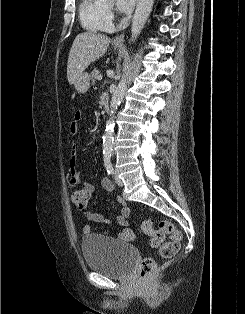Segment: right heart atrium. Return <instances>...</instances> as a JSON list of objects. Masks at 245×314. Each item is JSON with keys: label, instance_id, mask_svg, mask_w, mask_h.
I'll list each match as a JSON object with an SVG mask.
<instances>
[{"label": "right heart atrium", "instance_id": "1", "mask_svg": "<svg viewBox=\"0 0 245 314\" xmlns=\"http://www.w3.org/2000/svg\"><path fill=\"white\" fill-rule=\"evenodd\" d=\"M113 17V13L112 12H109L108 13V20H109V23H110V19Z\"/></svg>", "mask_w": 245, "mask_h": 314}]
</instances>
